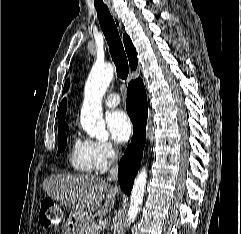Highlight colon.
<instances>
[{
    "label": "colon",
    "instance_id": "obj_1",
    "mask_svg": "<svg viewBox=\"0 0 241 234\" xmlns=\"http://www.w3.org/2000/svg\"><path fill=\"white\" fill-rule=\"evenodd\" d=\"M39 221L45 227L57 225L61 221V213L56 204L50 200H43L39 211Z\"/></svg>",
    "mask_w": 241,
    "mask_h": 234
}]
</instances>
